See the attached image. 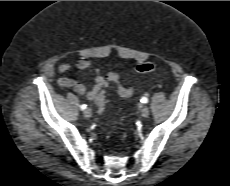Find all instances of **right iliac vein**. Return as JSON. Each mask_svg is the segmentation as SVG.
Returning <instances> with one entry per match:
<instances>
[{
  "label": "right iliac vein",
  "instance_id": "1",
  "mask_svg": "<svg viewBox=\"0 0 230 186\" xmlns=\"http://www.w3.org/2000/svg\"><path fill=\"white\" fill-rule=\"evenodd\" d=\"M84 116L86 118H90L92 116V111L91 109L87 108L85 111H84Z\"/></svg>",
  "mask_w": 230,
  "mask_h": 186
}]
</instances>
